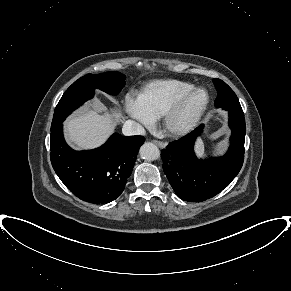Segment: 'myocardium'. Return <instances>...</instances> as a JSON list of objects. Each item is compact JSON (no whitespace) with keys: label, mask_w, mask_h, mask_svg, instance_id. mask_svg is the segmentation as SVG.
<instances>
[{"label":"myocardium","mask_w":291,"mask_h":291,"mask_svg":"<svg viewBox=\"0 0 291 291\" xmlns=\"http://www.w3.org/2000/svg\"><path fill=\"white\" fill-rule=\"evenodd\" d=\"M205 93V101L199 110L185 123L176 124V119L187 101L197 92ZM210 103L209 92L203 87H193L179 96L161 116L163 132L170 137H182L193 131L206 113Z\"/></svg>","instance_id":"obj_1"}]
</instances>
